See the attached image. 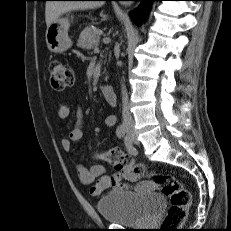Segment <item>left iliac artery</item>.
I'll return each mask as SVG.
<instances>
[{
  "instance_id": "44dca946",
  "label": "left iliac artery",
  "mask_w": 231,
  "mask_h": 231,
  "mask_svg": "<svg viewBox=\"0 0 231 231\" xmlns=\"http://www.w3.org/2000/svg\"><path fill=\"white\" fill-rule=\"evenodd\" d=\"M124 143H125V146L127 148V151L132 154V155H135L137 153L136 149L134 148L133 144H132V141H131V138L129 135H126L125 138H124Z\"/></svg>"
}]
</instances>
